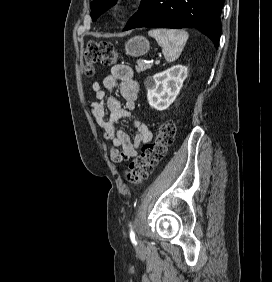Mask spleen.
Here are the masks:
<instances>
[{
    "mask_svg": "<svg viewBox=\"0 0 272 282\" xmlns=\"http://www.w3.org/2000/svg\"><path fill=\"white\" fill-rule=\"evenodd\" d=\"M148 35L155 38L167 62L171 63L178 59L188 40V33L176 29H152Z\"/></svg>",
    "mask_w": 272,
    "mask_h": 282,
    "instance_id": "1",
    "label": "spleen"
}]
</instances>
